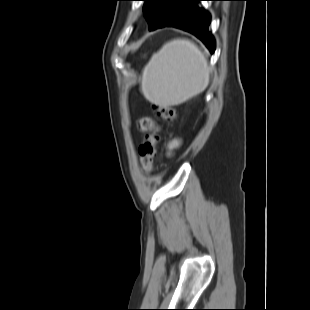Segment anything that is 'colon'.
I'll use <instances>...</instances> for the list:
<instances>
[{
  "label": "colon",
  "instance_id": "colon-1",
  "mask_svg": "<svg viewBox=\"0 0 310 310\" xmlns=\"http://www.w3.org/2000/svg\"><path fill=\"white\" fill-rule=\"evenodd\" d=\"M157 116L166 123L172 122L176 117L175 109L167 103H157L154 105ZM161 134L157 131H149L145 134L143 142L140 144L138 152L141 159L142 169L151 173L154 169V159L158 153V145L161 142Z\"/></svg>",
  "mask_w": 310,
  "mask_h": 310
}]
</instances>
